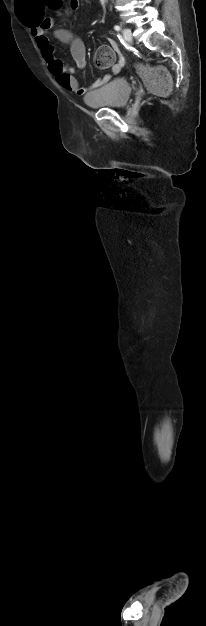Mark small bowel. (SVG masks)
<instances>
[{
  "label": "small bowel",
  "mask_w": 206,
  "mask_h": 626,
  "mask_svg": "<svg viewBox=\"0 0 206 626\" xmlns=\"http://www.w3.org/2000/svg\"><path fill=\"white\" fill-rule=\"evenodd\" d=\"M69 7L72 10L77 9L79 7V0H70ZM29 20L32 21L33 24L27 26L31 28L32 36L35 39L43 59L48 65L49 71L65 90L77 95H83L89 90L101 87L111 78V74H106L89 88L80 87L77 79L73 75V69L64 61L55 57L54 47L50 42L49 34L52 33L59 41L70 45L71 55L79 69L86 67V49L83 41L68 29L53 30L54 22L50 17H43L39 13H35ZM111 48L119 55L118 63L112 68V74H116L123 66L124 59L120 55L115 42L111 43Z\"/></svg>",
  "instance_id": "obj_1"
}]
</instances>
